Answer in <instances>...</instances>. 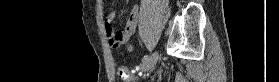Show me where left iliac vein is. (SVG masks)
Instances as JSON below:
<instances>
[{"instance_id": "1", "label": "left iliac vein", "mask_w": 279, "mask_h": 82, "mask_svg": "<svg viewBox=\"0 0 279 82\" xmlns=\"http://www.w3.org/2000/svg\"><path fill=\"white\" fill-rule=\"evenodd\" d=\"M157 61H158V52L154 51L150 55L148 60L142 62V64H141V71L142 72L149 71L150 69H152L156 65Z\"/></svg>"}]
</instances>
